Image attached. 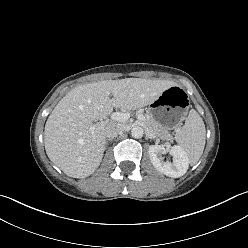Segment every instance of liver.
Instances as JSON below:
<instances>
[{
    "instance_id": "6515ba94",
    "label": "liver",
    "mask_w": 248,
    "mask_h": 248,
    "mask_svg": "<svg viewBox=\"0 0 248 248\" xmlns=\"http://www.w3.org/2000/svg\"><path fill=\"white\" fill-rule=\"evenodd\" d=\"M174 85L166 80L125 78L73 88L46 121L44 143L49 159L70 177L90 176L102 161L105 128L114 123L93 122L112 113L113 107L135 110L147 106ZM93 125L94 134L91 133Z\"/></svg>"
}]
</instances>
